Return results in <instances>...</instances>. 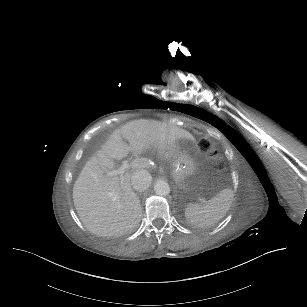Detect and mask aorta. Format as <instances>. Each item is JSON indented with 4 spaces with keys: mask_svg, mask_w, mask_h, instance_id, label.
<instances>
[{
    "mask_svg": "<svg viewBox=\"0 0 307 307\" xmlns=\"http://www.w3.org/2000/svg\"><path fill=\"white\" fill-rule=\"evenodd\" d=\"M154 191L159 196H165L170 193V185L164 180H157L154 183Z\"/></svg>",
    "mask_w": 307,
    "mask_h": 307,
    "instance_id": "obj_1",
    "label": "aorta"
}]
</instances>
